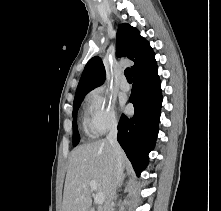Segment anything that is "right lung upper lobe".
<instances>
[{"label":"right lung upper lobe","instance_id":"right-lung-upper-lobe-1","mask_svg":"<svg viewBox=\"0 0 221 211\" xmlns=\"http://www.w3.org/2000/svg\"><path fill=\"white\" fill-rule=\"evenodd\" d=\"M117 56H126L134 62L133 76L156 64L155 54L149 42L140 36L139 31L127 23L119 25L116 36ZM105 68L100 57L91 58L80 78L75 98L85 96L92 89L103 84Z\"/></svg>","mask_w":221,"mask_h":211}]
</instances>
